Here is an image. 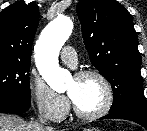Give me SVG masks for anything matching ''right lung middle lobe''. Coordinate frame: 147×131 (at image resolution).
Listing matches in <instances>:
<instances>
[{
    "label": "right lung middle lobe",
    "mask_w": 147,
    "mask_h": 131,
    "mask_svg": "<svg viewBox=\"0 0 147 131\" xmlns=\"http://www.w3.org/2000/svg\"><path fill=\"white\" fill-rule=\"evenodd\" d=\"M29 69L30 62L0 60V98L30 103Z\"/></svg>",
    "instance_id": "right-lung-middle-lobe-1"
}]
</instances>
